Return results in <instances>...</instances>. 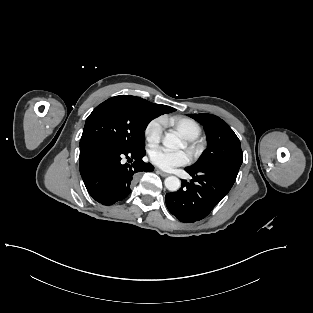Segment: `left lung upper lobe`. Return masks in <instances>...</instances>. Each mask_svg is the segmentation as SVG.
Listing matches in <instances>:
<instances>
[{
    "mask_svg": "<svg viewBox=\"0 0 313 313\" xmlns=\"http://www.w3.org/2000/svg\"><path fill=\"white\" fill-rule=\"evenodd\" d=\"M200 122L208 135L209 147L191 169H202L213 166H231L240 168L243 153L238 137L229 125L219 117L211 114H191Z\"/></svg>",
    "mask_w": 313,
    "mask_h": 313,
    "instance_id": "obj_1",
    "label": "left lung upper lobe"
}]
</instances>
